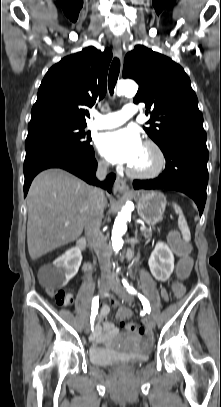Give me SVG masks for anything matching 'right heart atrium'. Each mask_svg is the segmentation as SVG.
Segmentation results:
<instances>
[{"label":"right heart atrium","instance_id":"right-heart-atrium-1","mask_svg":"<svg viewBox=\"0 0 221 407\" xmlns=\"http://www.w3.org/2000/svg\"><path fill=\"white\" fill-rule=\"evenodd\" d=\"M98 164L101 168H106L108 166L107 162L105 160L100 159L98 161Z\"/></svg>","mask_w":221,"mask_h":407}]
</instances>
